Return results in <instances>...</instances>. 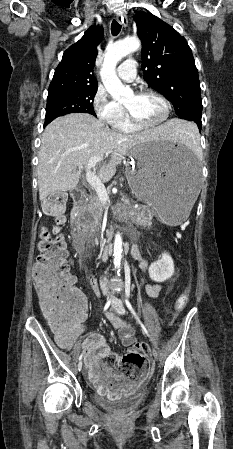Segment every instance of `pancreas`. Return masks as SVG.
I'll list each match as a JSON object with an SVG mask.
<instances>
[{
  "label": "pancreas",
  "mask_w": 233,
  "mask_h": 449,
  "mask_svg": "<svg viewBox=\"0 0 233 449\" xmlns=\"http://www.w3.org/2000/svg\"><path fill=\"white\" fill-rule=\"evenodd\" d=\"M83 210L90 214V225L96 230L100 224L103 216V204L98 196L91 194ZM119 214L126 219H130L137 226H148L151 224L154 212L146 207H139L137 209L130 208L126 205L119 206L117 209Z\"/></svg>",
  "instance_id": "obj_1"
}]
</instances>
